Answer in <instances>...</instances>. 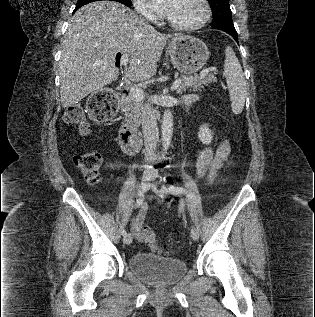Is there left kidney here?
I'll return each instance as SVG.
<instances>
[{"label":"left kidney","instance_id":"left-kidney-1","mask_svg":"<svg viewBox=\"0 0 315 317\" xmlns=\"http://www.w3.org/2000/svg\"><path fill=\"white\" fill-rule=\"evenodd\" d=\"M198 138L203 144H210L212 141V133L211 130L208 128V125L203 124L199 128Z\"/></svg>","mask_w":315,"mask_h":317}]
</instances>
